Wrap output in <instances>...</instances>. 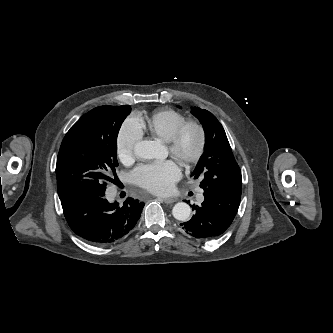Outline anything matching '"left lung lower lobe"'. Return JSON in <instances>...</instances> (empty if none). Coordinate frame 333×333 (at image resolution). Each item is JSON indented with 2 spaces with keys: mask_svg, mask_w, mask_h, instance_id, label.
<instances>
[{
  "mask_svg": "<svg viewBox=\"0 0 333 333\" xmlns=\"http://www.w3.org/2000/svg\"><path fill=\"white\" fill-rule=\"evenodd\" d=\"M203 190L204 201L201 205H192L195 215L180 224L186 233L198 239L213 238L224 233L236 216L241 199V190Z\"/></svg>",
  "mask_w": 333,
  "mask_h": 333,
  "instance_id": "obj_1",
  "label": "left lung lower lobe"
}]
</instances>
